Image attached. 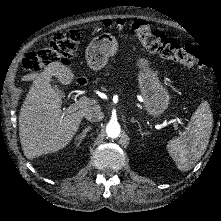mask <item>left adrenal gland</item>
I'll return each mask as SVG.
<instances>
[{
    "mask_svg": "<svg viewBox=\"0 0 221 221\" xmlns=\"http://www.w3.org/2000/svg\"><path fill=\"white\" fill-rule=\"evenodd\" d=\"M130 121H131L132 123H135V122H136V123L138 124V127H139L138 131L140 132V134H141L142 137H143L144 135H148V134H149V132H142V128H141L140 123H139L137 120H135L134 117H132Z\"/></svg>",
    "mask_w": 221,
    "mask_h": 221,
    "instance_id": "obj_1",
    "label": "left adrenal gland"
}]
</instances>
